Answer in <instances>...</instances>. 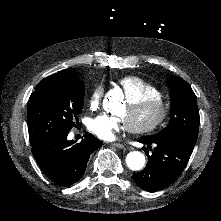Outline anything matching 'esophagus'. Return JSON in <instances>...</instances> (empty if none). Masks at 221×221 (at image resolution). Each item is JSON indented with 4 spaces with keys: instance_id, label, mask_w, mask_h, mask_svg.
<instances>
[{
    "instance_id": "1",
    "label": "esophagus",
    "mask_w": 221,
    "mask_h": 221,
    "mask_svg": "<svg viewBox=\"0 0 221 221\" xmlns=\"http://www.w3.org/2000/svg\"><path fill=\"white\" fill-rule=\"evenodd\" d=\"M108 145L119 148V149H124V145L121 143H109Z\"/></svg>"
}]
</instances>
